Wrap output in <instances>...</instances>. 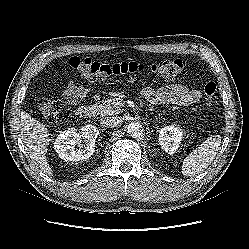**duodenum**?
Listing matches in <instances>:
<instances>
[{"label": "duodenum", "instance_id": "1", "mask_svg": "<svg viewBox=\"0 0 249 249\" xmlns=\"http://www.w3.org/2000/svg\"><path fill=\"white\" fill-rule=\"evenodd\" d=\"M77 114L82 119H89L97 115V108L91 105L80 106L77 110Z\"/></svg>", "mask_w": 249, "mask_h": 249}]
</instances>
